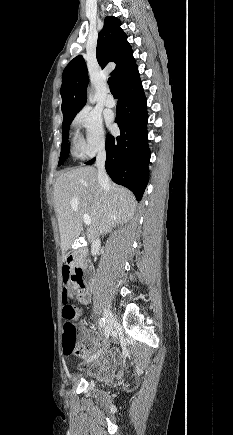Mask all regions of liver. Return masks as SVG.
<instances>
[{"label":"liver","mask_w":233,"mask_h":435,"mask_svg":"<svg viewBox=\"0 0 233 435\" xmlns=\"http://www.w3.org/2000/svg\"><path fill=\"white\" fill-rule=\"evenodd\" d=\"M132 192L109 179L101 181L94 167H78L62 173L54 184V209L58 219L61 249L65 253L80 236L83 214L91 218L87 240L109 233L127 223L136 211Z\"/></svg>","instance_id":"liver-1"}]
</instances>
